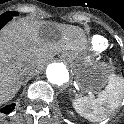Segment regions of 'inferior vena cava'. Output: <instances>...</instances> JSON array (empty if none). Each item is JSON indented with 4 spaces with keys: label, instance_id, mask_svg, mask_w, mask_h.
I'll return each mask as SVG.
<instances>
[{
    "label": "inferior vena cava",
    "instance_id": "1",
    "mask_svg": "<svg viewBox=\"0 0 124 124\" xmlns=\"http://www.w3.org/2000/svg\"><path fill=\"white\" fill-rule=\"evenodd\" d=\"M30 70L38 71V65L37 64L30 65Z\"/></svg>",
    "mask_w": 124,
    "mask_h": 124
}]
</instances>
